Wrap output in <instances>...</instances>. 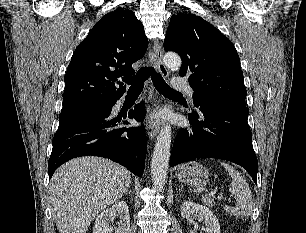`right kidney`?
Returning a JSON list of instances; mask_svg holds the SVG:
<instances>
[{
    "label": "right kidney",
    "mask_w": 306,
    "mask_h": 233,
    "mask_svg": "<svg viewBox=\"0 0 306 233\" xmlns=\"http://www.w3.org/2000/svg\"><path fill=\"white\" fill-rule=\"evenodd\" d=\"M118 217L119 222L117 227L110 226V222ZM130 230V215L128 205L125 201H118L110 208L102 211L96 218L93 233H129Z\"/></svg>",
    "instance_id": "right-kidney-1"
}]
</instances>
